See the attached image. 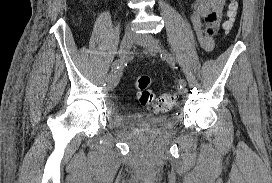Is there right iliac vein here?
Returning <instances> with one entry per match:
<instances>
[{
    "instance_id": "obj_1",
    "label": "right iliac vein",
    "mask_w": 272,
    "mask_h": 183,
    "mask_svg": "<svg viewBox=\"0 0 272 183\" xmlns=\"http://www.w3.org/2000/svg\"><path fill=\"white\" fill-rule=\"evenodd\" d=\"M135 41H136V37L132 33L128 32L124 35L121 45H120V49H119V54H120V58L122 61L121 66L127 60L130 49L132 48ZM109 75H110V73L108 74V76L106 78L108 87L114 88L119 82L121 73L118 76V78H110Z\"/></svg>"
}]
</instances>
